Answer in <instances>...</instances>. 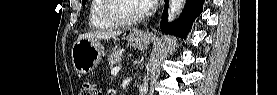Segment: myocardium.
<instances>
[{"mask_svg": "<svg viewBox=\"0 0 277 95\" xmlns=\"http://www.w3.org/2000/svg\"><path fill=\"white\" fill-rule=\"evenodd\" d=\"M119 1L122 0H107L106 4L103 7V16L116 23L117 25H132L139 23L146 19L149 15L150 10L148 8H144L143 12L134 18H126L116 13L115 8Z\"/></svg>", "mask_w": 277, "mask_h": 95, "instance_id": "f54148a6", "label": "myocardium"}]
</instances>
